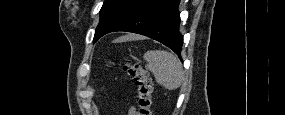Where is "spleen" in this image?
I'll return each instance as SVG.
<instances>
[{
  "instance_id": "1",
  "label": "spleen",
  "mask_w": 285,
  "mask_h": 115,
  "mask_svg": "<svg viewBox=\"0 0 285 115\" xmlns=\"http://www.w3.org/2000/svg\"><path fill=\"white\" fill-rule=\"evenodd\" d=\"M144 60L159 85L167 90H175L181 86L182 64L172 53L166 50H150L144 54Z\"/></svg>"
}]
</instances>
